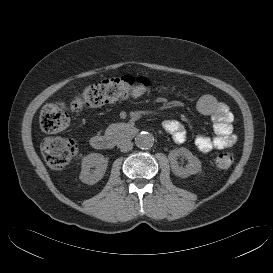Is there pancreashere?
Wrapping results in <instances>:
<instances>
[{"instance_id": "1", "label": "pancreas", "mask_w": 273, "mask_h": 273, "mask_svg": "<svg viewBox=\"0 0 273 273\" xmlns=\"http://www.w3.org/2000/svg\"><path fill=\"white\" fill-rule=\"evenodd\" d=\"M120 129V125L119 124H111L110 126H108V128L106 129V133L107 134H112V133H116L118 132Z\"/></svg>"}]
</instances>
